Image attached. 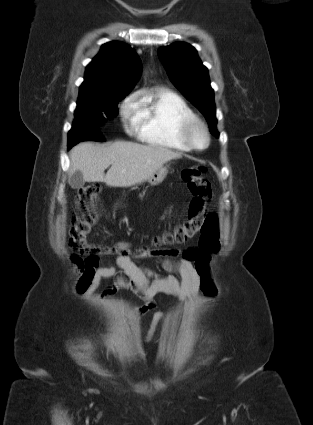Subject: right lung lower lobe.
<instances>
[{
  "label": "right lung lower lobe",
  "instance_id": "1",
  "mask_svg": "<svg viewBox=\"0 0 313 425\" xmlns=\"http://www.w3.org/2000/svg\"><path fill=\"white\" fill-rule=\"evenodd\" d=\"M68 139H74L76 141L73 144H68L69 149L80 141H104V138L97 131L95 125L89 122H79L76 127H72L68 133Z\"/></svg>",
  "mask_w": 313,
  "mask_h": 425
}]
</instances>
